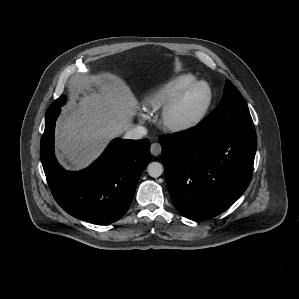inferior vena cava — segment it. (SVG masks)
Wrapping results in <instances>:
<instances>
[{"mask_svg": "<svg viewBox=\"0 0 299 299\" xmlns=\"http://www.w3.org/2000/svg\"><path fill=\"white\" fill-rule=\"evenodd\" d=\"M146 134H147L146 128L143 127V126L138 125V126H135V127L131 128L130 130H128L125 133L124 138L125 139L138 140V139H141Z\"/></svg>", "mask_w": 299, "mask_h": 299, "instance_id": "1", "label": "inferior vena cava"}]
</instances>
